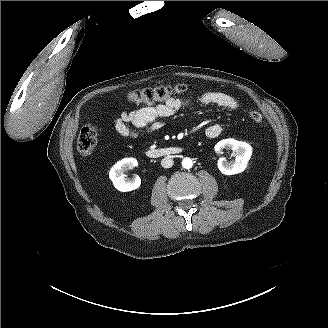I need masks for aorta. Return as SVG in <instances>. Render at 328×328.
Instances as JSON below:
<instances>
[{
	"mask_svg": "<svg viewBox=\"0 0 328 328\" xmlns=\"http://www.w3.org/2000/svg\"><path fill=\"white\" fill-rule=\"evenodd\" d=\"M192 166H193V161H192L191 158L186 157L182 160V167L183 168L190 169V168H192Z\"/></svg>",
	"mask_w": 328,
	"mask_h": 328,
	"instance_id": "aorta-1",
	"label": "aorta"
}]
</instances>
